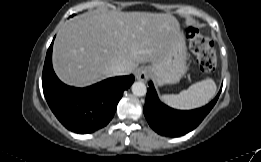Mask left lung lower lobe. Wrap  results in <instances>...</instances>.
<instances>
[{
    "mask_svg": "<svg viewBox=\"0 0 261 162\" xmlns=\"http://www.w3.org/2000/svg\"><path fill=\"white\" fill-rule=\"evenodd\" d=\"M220 92L206 106L182 111L163 104L157 96L153 83L149 82L144 115L150 127L158 134L166 137H179L194 130L202 122L217 102Z\"/></svg>",
    "mask_w": 261,
    "mask_h": 162,
    "instance_id": "obj_1",
    "label": "left lung lower lobe"
}]
</instances>
